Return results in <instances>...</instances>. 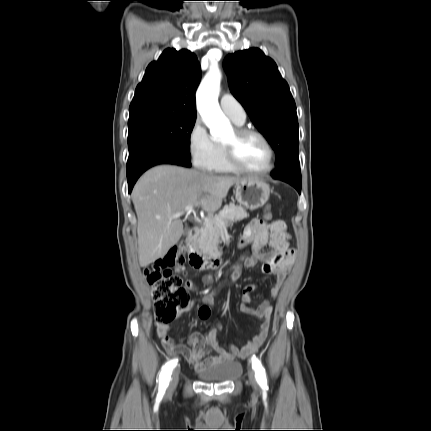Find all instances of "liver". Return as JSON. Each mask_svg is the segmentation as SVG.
<instances>
[{
	"label": "liver",
	"mask_w": 431,
	"mask_h": 431,
	"mask_svg": "<svg viewBox=\"0 0 431 431\" xmlns=\"http://www.w3.org/2000/svg\"><path fill=\"white\" fill-rule=\"evenodd\" d=\"M244 178L217 176L172 165L148 170L132 191L138 218V255L142 267L162 258L183 234V223L170 218L188 205L218 210L229 189Z\"/></svg>",
	"instance_id": "liver-1"
}]
</instances>
